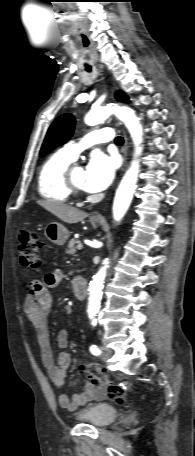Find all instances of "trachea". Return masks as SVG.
Wrapping results in <instances>:
<instances>
[{"mask_svg": "<svg viewBox=\"0 0 195 456\" xmlns=\"http://www.w3.org/2000/svg\"><path fill=\"white\" fill-rule=\"evenodd\" d=\"M86 71L91 72V67H86ZM123 142H124V140H123L122 137H120V136H119V137H116L115 143H116L117 145H122Z\"/></svg>", "mask_w": 195, "mask_h": 456, "instance_id": "1", "label": "trachea"}]
</instances>
